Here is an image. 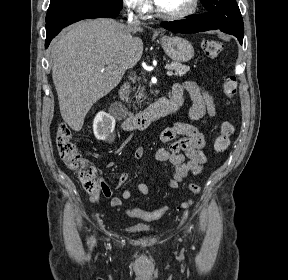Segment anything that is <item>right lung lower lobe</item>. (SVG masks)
Masks as SVG:
<instances>
[{
	"instance_id": "obj_1",
	"label": "right lung lower lobe",
	"mask_w": 288,
	"mask_h": 280,
	"mask_svg": "<svg viewBox=\"0 0 288 280\" xmlns=\"http://www.w3.org/2000/svg\"><path fill=\"white\" fill-rule=\"evenodd\" d=\"M120 10L99 0H66L49 6L46 15L45 48L64 27L87 18H114Z\"/></svg>"
}]
</instances>
